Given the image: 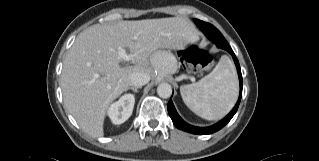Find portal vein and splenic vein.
<instances>
[{"label":"portal vein and splenic vein","instance_id":"obj_1","mask_svg":"<svg viewBox=\"0 0 319 161\" xmlns=\"http://www.w3.org/2000/svg\"><path fill=\"white\" fill-rule=\"evenodd\" d=\"M118 54H119L120 58H121L122 60H124V61H129V60H131L130 55H127L125 49H123V48H119Z\"/></svg>","mask_w":319,"mask_h":161}]
</instances>
